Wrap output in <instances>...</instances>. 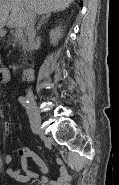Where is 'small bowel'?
Segmentation results:
<instances>
[{"label":"small bowel","instance_id":"c3829d8e","mask_svg":"<svg viewBox=\"0 0 119 185\" xmlns=\"http://www.w3.org/2000/svg\"><path fill=\"white\" fill-rule=\"evenodd\" d=\"M11 80V73L7 67L0 68V82L8 83ZM3 135H9L11 131V124L9 121H4L2 125ZM20 156V168L14 169L9 164L12 162V155L7 153L4 155V162L8 165L5 169V173L11 178L19 182H29L35 180L39 177V174L29 168L28 159L31 158L35 164L39 167L42 174L41 181L45 185H70L71 176L66 169L64 162L61 158L57 159V164L59 166V172L54 178H49L48 167L44 160L33 152L29 147L23 146L17 150Z\"/></svg>","mask_w":119,"mask_h":185}]
</instances>
